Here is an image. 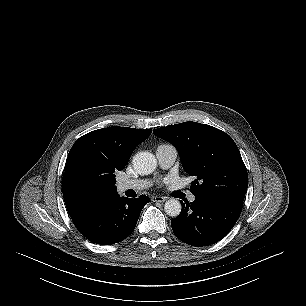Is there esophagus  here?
I'll return each mask as SVG.
<instances>
[{
	"label": "esophagus",
	"instance_id": "34e87169",
	"mask_svg": "<svg viewBox=\"0 0 306 306\" xmlns=\"http://www.w3.org/2000/svg\"><path fill=\"white\" fill-rule=\"evenodd\" d=\"M151 200L153 202H164L167 200V198L165 196L155 195V196H152Z\"/></svg>",
	"mask_w": 306,
	"mask_h": 306
}]
</instances>
